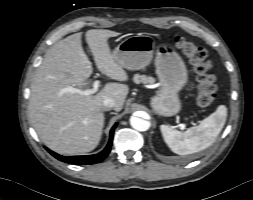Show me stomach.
I'll return each instance as SVG.
<instances>
[{
  "label": "stomach",
  "mask_w": 253,
  "mask_h": 200,
  "mask_svg": "<svg viewBox=\"0 0 253 200\" xmlns=\"http://www.w3.org/2000/svg\"><path fill=\"white\" fill-rule=\"evenodd\" d=\"M154 50L155 42L149 36L136 35L121 41L112 55L123 68L139 70L150 64ZM155 66L160 89L151 99V106L159 115H176L181 109L178 92L188 80L186 65L173 48L162 45L157 48Z\"/></svg>",
  "instance_id": "1"
}]
</instances>
